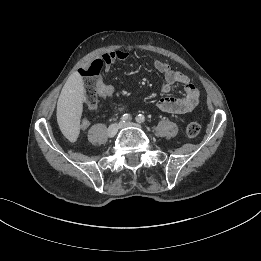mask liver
<instances>
[{
    "mask_svg": "<svg viewBox=\"0 0 261 261\" xmlns=\"http://www.w3.org/2000/svg\"><path fill=\"white\" fill-rule=\"evenodd\" d=\"M84 99L82 77L73 73L67 79L57 102V121L62 130L78 131Z\"/></svg>",
    "mask_w": 261,
    "mask_h": 261,
    "instance_id": "6515ba94",
    "label": "liver"
}]
</instances>
